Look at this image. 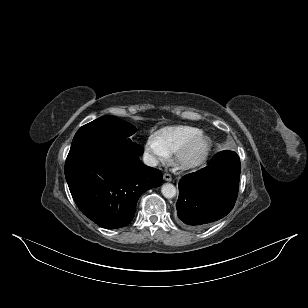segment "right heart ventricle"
I'll list each match as a JSON object with an SVG mask.
<instances>
[{"instance_id":"right-heart-ventricle-1","label":"right heart ventricle","mask_w":308,"mask_h":308,"mask_svg":"<svg viewBox=\"0 0 308 308\" xmlns=\"http://www.w3.org/2000/svg\"><path fill=\"white\" fill-rule=\"evenodd\" d=\"M200 129L191 126H173L159 130L155 137L169 153H176L187 141L199 134Z\"/></svg>"}]
</instances>
